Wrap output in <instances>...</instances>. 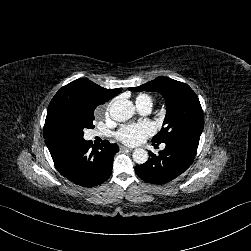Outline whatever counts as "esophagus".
Segmentation results:
<instances>
[{
	"instance_id": "esophagus-1",
	"label": "esophagus",
	"mask_w": 251,
	"mask_h": 251,
	"mask_svg": "<svg viewBox=\"0 0 251 251\" xmlns=\"http://www.w3.org/2000/svg\"><path fill=\"white\" fill-rule=\"evenodd\" d=\"M120 150L121 151H124V150H129V151H132V148H129V147H126V146H120Z\"/></svg>"
}]
</instances>
